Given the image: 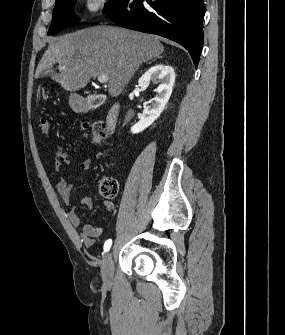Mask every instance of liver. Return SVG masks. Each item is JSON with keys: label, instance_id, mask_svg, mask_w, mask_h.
Listing matches in <instances>:
<instances>
[{"label": "liver", "instance_id": "liver-1", "mask_svg": "<svg viewBox=\"0 0 285 335\" xmlns=\"http://www.w3.org/2000/svg\"><path fill=\"white\" fill-rule=\"evenodd\" d=\"M48 42L50 46L37 66L36 78L53 64H59L56 82L67 92H77L91 78L102 74L109 78L111 98L122 94L143 62L159 58L164 52L158 36L114 26H94Z\"/></svg>", "mask_w": 285, "mask_h": 335}]
</instances>
